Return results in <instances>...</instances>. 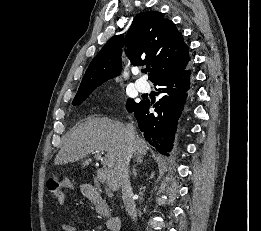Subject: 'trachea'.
<instances>
[{
	"label": "trachea",
	"instance_id": "3493384b",
	"mask_svg": "<svg viewBox=\"0 0 261 231\" xmlns=\"http://www.w3.org/2000/svg\"><path fill=\"white\" fill-rule=\"evenodd\" d=\"M143 73H147V72H150V68H146L144 70H142Z\"/></svg>",
	"mask_w": 261,
	"mask_h": 231
}]
</instances>
